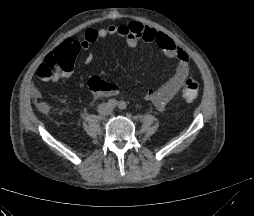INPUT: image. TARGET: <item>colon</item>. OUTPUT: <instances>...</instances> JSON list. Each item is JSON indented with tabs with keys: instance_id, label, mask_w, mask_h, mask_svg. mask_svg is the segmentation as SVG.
Masks as SVG:
<instances>
[{
	"instance_id": "obj_1",
	"label": "colon",
	"mask_w": 254,
	"mask_h": 216,
	"mask_svg": "<svg viewBox=\"0 0 254 216\" xmlns=\"http://www.w3.org/2000/svg\"><path fill=\"white\" fill-rule=\"evenodd\" d=\"M81 50L79 44L74 51L64 50L50 53L46 56L43 63L38 68V76L41 79H50L57 73L71 70L73 67L72 56ZM199 82L195 79H189L181 90L182 99L186 102L194 101L198 96Z\"/></svg>"
}]
</instances>
